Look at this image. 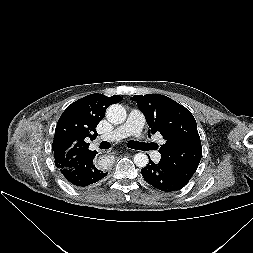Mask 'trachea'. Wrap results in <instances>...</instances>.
<instances>
[{"label": "trachea", "mask_w": 253, "mask_h": 253, "mask_svg": "<svg viewBox=\"0 0 253 253\" xmlns=\"http://www.w3.org/2000/svg\"><path fill=\"white\" fill-rule=\"evenodd\" d=\"M127 145L131 149H137V150H145L146 149V144L138 142V141H129ZM110 146H111V144L109 142L103 141L100 144V149H108Z\"/></svg>", "instance_id": "1"}]
</instances>
